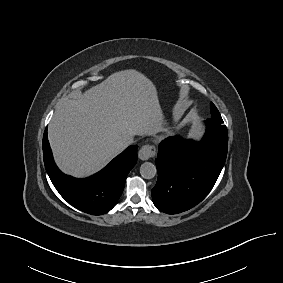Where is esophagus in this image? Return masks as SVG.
<instances>
[{"label": "esophagus", "instance_id": "34e87169", "mask_svg": "<svg viewBox=\"0 0 283 283\" xmlns=\"http://www.w3.org/2000/svg\"><path fill=\"white\" fill-rule=\"evenodd\" d=\"M156 147L154 145H144L140 148L138 156L141 160H148L156 154Z\"/></svg>", "mask_w": 283, "mask_h": 283}]
</instances>
